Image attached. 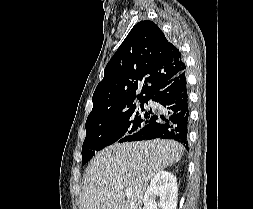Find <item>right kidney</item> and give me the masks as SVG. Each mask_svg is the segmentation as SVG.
<instances>
[{
	"instance_id": "ca27d5eb",
	"label": "right kidney",
	"mask_w": 253,
	"mask_h": 209,
	"mask_svg": "<svg viewBox=\"0 0 253 209\" xmlns=\"http://www.w3.org/2000/svg\"><path fill=\"white\" fill-rule=\"evenodd\" d=\"M178 186L176 177L167 171L158 172L151 180L145 195L143 209H176ZM160 201L156 203V198Z\"/></svg>"
}]
</instances>
